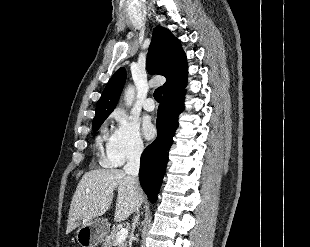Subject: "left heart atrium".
Returning a JSON list of instances; mask_svg holds the SVG:
<instances>
[{
  "mask_svg": "<svg viewBox=\"0 0 310 247\" xmlns=\"http://www.w3.org/2000/svg\"><path fill=\"white\" fill-rule=\"evenodd\" d=\"M143 132L147 139H152L155 135V128L150 122H146L143 126Z\"/></svg>",
  "mask_w": 310,
  "mask_h": 247,
  "instance_id": "left-heart-atrium-1",
  "label": "left heart atrium"
}]
</instances>
